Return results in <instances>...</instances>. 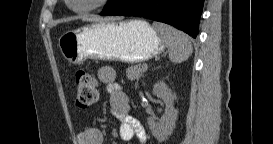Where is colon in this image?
<instances>
[{"label":"colon","instance_id":"5ec220e1","mask_svg":"<svg viewBox=\"0 0 273 144\" xmlns=\"http://www.w3.org/2000/svg\"><path fill=\"white\" fill-rule=\"evenodd\" d=\"M76 104L81 109L92 106L98 97L97 80L87 70L79 69L75 73Z\"/></svg>","mask_w":273,"mask_h":144}]
</instances>
